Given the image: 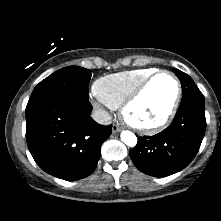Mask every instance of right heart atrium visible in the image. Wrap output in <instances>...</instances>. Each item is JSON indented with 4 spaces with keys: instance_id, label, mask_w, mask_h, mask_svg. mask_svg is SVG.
<instances>
[{
    "instance_id": "obj_1",
    "label": "right heart atrium",
    "mask_w": 221,
    "mask_h": 221,
    "mask_svg": "<svg viewBox=\"0 0 221 221\" xmlns=\"http://www.w3.org/2000/svg\"><path fill=\"white\" fill-rule=\"evenodd\" d=\"M94 105H95L96 107H100V105H99L98 103H94Z\"/></svg>"
}]
</instances>
